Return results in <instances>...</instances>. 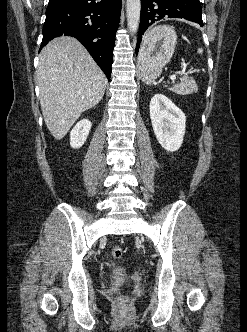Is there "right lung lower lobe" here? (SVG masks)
Segmentation results:
<instances>
[{"instance_id": "obj_1", "label": "right lung lower lobe", "mask_w": 247, "mask_h": 332, "mask_svg": "<svg viewBox=\"0 0 247 332\" xmlns=\"http://www.w3.org/2000/svg\"><path fill=\"white\" fill-rule=\"evenodd\" d=\"M122 0H49L41 48L62 35L76 37L111 77Z\"/></svg>"}]
</instances>
